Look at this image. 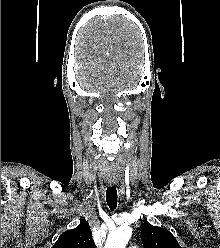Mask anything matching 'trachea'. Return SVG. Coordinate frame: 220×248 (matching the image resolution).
Segmentation results:
<instances>
[{
  "instance_id": "obj_1",
  "label": "trachea",
  "mask_w": 220,
  "mask_h": 248,
  "mask_svg": "<svg viewBox=\"0 0 220 248\" xmlns=\"http://www.w3.org/2000/svg\"><path fill=\"white\" fill-rule=\"evenodd\" d=\"M117 190L115 186L108 187L106 190V202L111 210L117 207Z\"/></svg>"
}]
</instances>
